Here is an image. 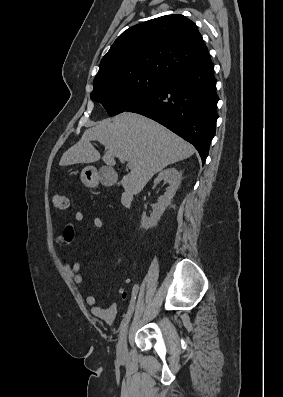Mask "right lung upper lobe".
Listing matches in <instances>:
<instances>
[{"label":"right lung upper lobe","instance_id":"cb5924a9","mask_svg":"<svg viewBox=\"0 0 283 397\" xmlns=\"http://www.w3.org/2000/svg\"><path fill=\"white\" fill-rule=\"evenodd\" d=\"M209 62L196 24L183 15H166L124 31L102 58L94 82L140 75L166 80Z\"/></svg>","mask_w":283,"mask_h":397}]
</instances>
